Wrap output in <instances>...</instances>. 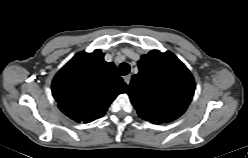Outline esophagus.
<instances>
[{
	"label": "esophagus",
	"instance_id": "esophagus-1",
	"mask_svg": "<svg viewBox=\"0 0 248 158\" xmlns=\"http://www.w3.org/2000/svg\"><path fill=\"white\" fill-rule=\"evenodd\" d=\"M124 82L129 85L130 84V80H131V76L130 75H126L123 77Z\"/></svg>",
	"mask_w": 248,
	"mask_h": 158
}]
</instances>
